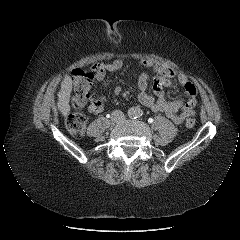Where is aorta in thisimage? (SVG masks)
<instances>
[{
	"instance_id": "obj_1",
	"label": "aorta",
	"mask_w": 240,
	"mask_h": 240,
	"mask_svg": "<svg viewBox=\"0 0 240 240\" xmlns=\"http://www.w3.org/2000/svg\"><path fill=\"white\" fill-rule=\"evenodd\" d=\"M138 115H139V110H138L137 108L132 107V108H130V109L128 110V116H129L130 118H134V117H136V116H138Z\"/></svg>"
}]
</instances>
